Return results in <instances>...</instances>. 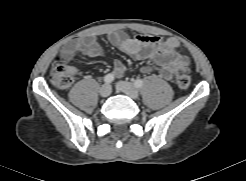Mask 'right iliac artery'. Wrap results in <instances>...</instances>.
<instances>
[{
    "label": "right iliac artery",
    "mask_w": 246,
    "mask_h": 181,
    "mask_svg": "<svg viewBox=\"0 0 246 181\" xmlns=\"http://www.w3.org/2000/svg\"><path fill=\"white\" fill-rule=\"evenodd\" d=\"M103 80L106 83H111L114 80V75L112 73H109L104 77Z\"/></svg>",
    "instance_id": "right-iliac-artery-1"
}]
</instances>
